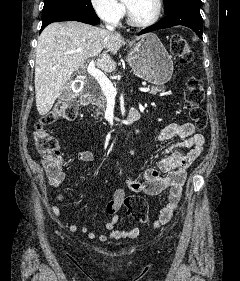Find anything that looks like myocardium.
<instances>
[{
    "mask_svg": "<svg viewBox=\"0 0 240 281\" xmlns=\"http://www.w3.org/2000/svg\"><path fill=\"white\" fill-rule=\"evenodd\" d=\"M155 4H156L155 12L149 20H147V21H136V20L133 19L129 8L125 3L126 17H127L128 24L130 26L136 27V28H146V27H149V26H152L153 24H155L161 16L162 8H163V1L162 0H155Z\"/></svg>",
    "mask_w": 240,
    "mask_h": 281,
    "instance_id": "f54148a6",
    "label": "myocardium"
}]
</instances>
